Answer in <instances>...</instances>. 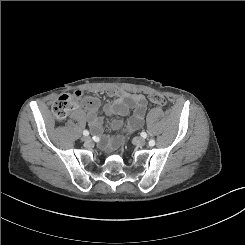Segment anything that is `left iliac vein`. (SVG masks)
<instances>
[{
    "mask_svg": "<svg viewBox=\"0 0 245 245\" xmlns=\"http://www.w3.org/2000/svg\"><path fill=\"white\" fill-rule=\"evenodd\" d=\"M134 143L137 146H143L146 144V140L144 138H141V137H136V138H134Z\"/></svg>",
    "mask_w": 245,
    "mask_h": 245,
    "instance_id": "obj_1",
    "label": "left iliac vein"
}]
</instances>
